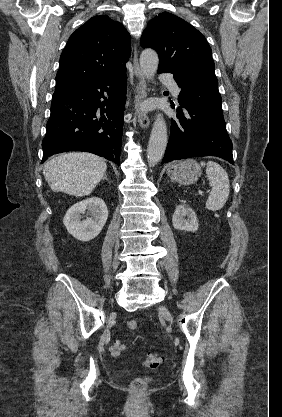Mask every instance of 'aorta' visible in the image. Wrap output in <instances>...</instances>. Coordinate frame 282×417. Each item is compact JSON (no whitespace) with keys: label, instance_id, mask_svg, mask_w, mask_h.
I'll return each mask as SVG.
<instances>
[{"label":"aorta","instance_id":"1","mask_svg":"<svg viewBox=\"0 0 282 417\" xmlns=\"http://www.w3.org/2000/svg\"><path fill=\"white\" fill-rule=\"evenodd\" d=\"M139 62L142 74H144L145 78H148V80H152L159 64L156 50H153V48H145V50H142ZM167 136V124L163 114L159 112V114H156L147 146V160L149 166H155V164L160 162L161 158H163L167 146Z\"/></svg>","mask_w":282,"mask_h":417}]
</instances>
